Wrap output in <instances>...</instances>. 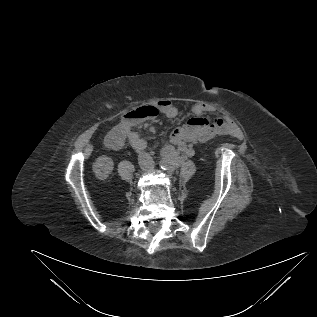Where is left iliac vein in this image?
<instances>
[{"mask_svg":"<svg viewBox=\"0 0 317 317\" xmlns=\"http://www.w3.org/2000/svg\"><path fill=\"white\" fill-rule=\"evenodd\" d=\"M169 172H172L171 169H168Z\"/></svg>","mask_w":317,"mask_h":317,"instance_id":"left-iliac-vein-1","label":"left iliac vein"}]
</instances>
